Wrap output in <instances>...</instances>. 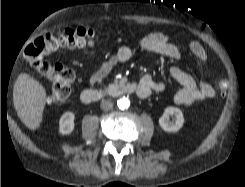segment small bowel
<instances>
[{
    "label": "small bowel",
    "instance_id": "1",
    "mask_svg": "<svg viewBox=\"0 0 245 187\" xmlns=\"http://www.w3.org/2000/svg\"><path fill=\"white\" fill-rule=\"evenodd\" d=\"M185 42L193 55L199 60L202 67L207 64L208 56L203 46L195 39H172L171 37L159 33H148L139 39L138 45L144 50L157 53L163 57L179 60L182 53L179 43ZM133 55V47L129 44L122 45L114 54L110 56L90 77V86L95 87L101 84L118 64L128 62ZM169 75L180 84V89L172 96L173 103L181 106H190L198 101L213 98L215 91L213 87L204 81V75L196 81L190 74L179 67L169 68ZM138 95L141 98L148 97L153 91H162L164 83L155 80L151 75L143 76L139 82Z\"/></svg>",
    "mask_w": 245,
    "mask_h": 187
}]
</instances>
